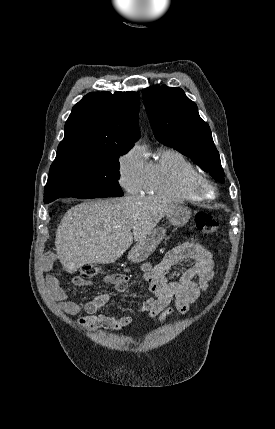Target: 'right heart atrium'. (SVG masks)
<instances>
[{
  "instance_id": "right-heart-atrium-1",
  "label": "right heart atrium",
  "mask_w": 275,
  "mask_h": 429,
  "mask_svg": "<svg viewBox=\"0 0 275 429\" xmlns=\"http://www.w3.org/2000/svg\"><path fill=\"white\" fill-rule=\"evenodd\" d=\"M118 179L120 185L129 193L143 190L146 180V162L138 148H131L118 158Z\"/></svg>"
}]
</instances>
